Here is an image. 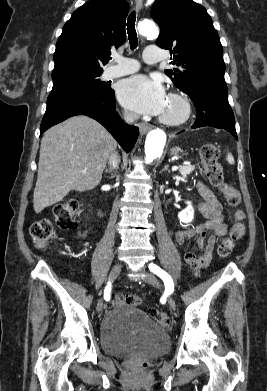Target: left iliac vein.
<instances>
[{
    "instance_id": "4c4485c4",
    "label": "left iliac vein",
    "mask_w": 267,
    "mask_h": 391,
    "mask_svg": "<svg viewBox=\"0 0 267 391\" xmlns=\"http://www.w3.org/2000/svg\"><path fill=\"white\" fill-rule=\"evenodd\" d=\"M145 274H146L144 277L145 282H147L150 285L156 286V287L159 286L158 280L156 279V277L152 273L145 272ZM167 302L173 310L176 309L175 300L171 296H167Z\"/></svg>"
}]
</instances>
